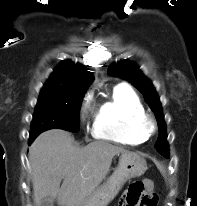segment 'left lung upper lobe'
<instances>
[{
	"label": "left lung upper lobe",
	"mask_w": 197,
	"mask_h": 206,
	"mask_svg": "<svg viewBox=\"0 0 197 206\" xmlns=\"http://www.w3.org/2000/svg\"><path fill=\"white\" fill-rule=\"evenodd\" d=\"M108 72L112 76L121 77L129 81L143 94L154 112L159 126V137L155 148L164 156L168 154L166 124L164 122L159 97L152 83L142 74L139 68L130 61L123 60L119 63H114L109 67Z\"/></svg>",
	"instance_id": "5c2ea615"
}]
</instances>
